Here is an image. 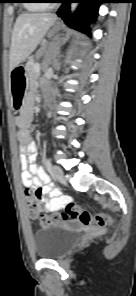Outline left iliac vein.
I'll list each match as a JSON object with an SVG mask.
<instances>
[{"label":"left iliac vein","mask_w":136,"mask_h":296,"mask_svg":"<svg viewBox=\"0 0 136 296\" xmlns=\"http://www.w3.org/2000/svg\"><path fill=\"white\" fill-rule=\"evenodd\" d=\"M52 175L58 182L60 183L64 182L63 172L59 167L54 166L52 168Z\"/></svg>","instance_id":"obj_1"}]
</instances>
